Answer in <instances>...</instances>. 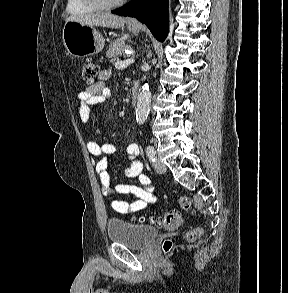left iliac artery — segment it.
I'll use <instances>...</instances> for the list:
<instances>
[{
	"mask_svg": "<svg viewBox=\"0 0 288 293\" xmlns=\"http://www.w3.org/2000/svg\"><path fill=\"white\" fill-rule=\"evenodd\" d=\"M146 154L149 157V159L154 162L156 159V152L153 146H147L146 148Z\"/></svg>",
	"mask_w": 288,
	"mask_h": 293,
	"instance_id": "1",
	"label": "left iliac artery"
}]
</instances>
